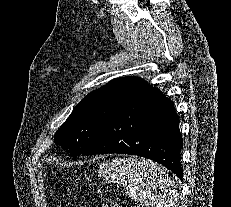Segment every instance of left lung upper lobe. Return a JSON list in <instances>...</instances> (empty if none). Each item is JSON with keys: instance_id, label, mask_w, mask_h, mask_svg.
<instances>
[{"instance_id": "obj_1", "label": "left lung upper lobe", "mask_w": 231, "mask_h": 207, "mask_svg": "<svg viewBox=\"0 0 231 207\" xmlns=\"http://www.w3.org/2000/svg\"><path fill=\"white\" fill-rule=\"evenodd\" d=\"M137 77H124L89 93L55 133V142L71 155H83L106 122L144 85Z\"/></svg>"}]
</instances>
